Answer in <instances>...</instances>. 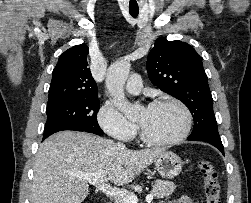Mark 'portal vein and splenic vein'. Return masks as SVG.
Listing matches in <instances>:
<instances>
[{
	"label": "portal vein and splenic vein",
	"instance_id": "portal-vein-and-splenic-vein-1",
	"mask_svg": "<svg viewBox=\"0 0 251 203\" xmlns=\"http://www.w3.org/2000/svg\"><path fill=\"white\" fill-rule=\"evenodd\" d=\"M76 176L80 179L88 181L90 184L94 185L98 190L106 195L114 196L115 199H122L125 203H138L137 196L126 191L120 190L118 188H113L111 185L104 182L106 177L105 170H99L94 173H77ZM153 200V195L149 194L146 196V202L150 203Z\"/></svg>",
	"mask_w": 251,
	"mask_h": 203
}]
</instances>
